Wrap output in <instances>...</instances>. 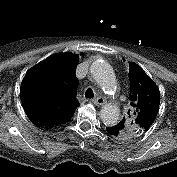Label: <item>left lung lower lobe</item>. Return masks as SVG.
Instances as JSON below:
<instances>
[{"instance_id":"obj_1","label":"left lung lower lobe","mask_w":177,"mask_h":177,"mask_svg":"<svg viewBox=\"0 0 177 177\" xmlns=\"http://www.w3.org/2000/svg\"><path fill=\"white\" fill-rule=\"evenodd\" d=\"M106 131L113 138H117L121 134L120 129L116 125H113L111 127H107Z\"/></svg>"}]
</instances>
